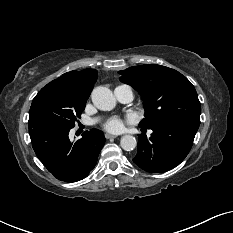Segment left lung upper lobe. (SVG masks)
<instances>
[{"instance_id": "5c2ea615", "label": "left lung upper lobe", "mask_w": 233, "mask_h": 233, "mask_svg": "<svg viewBox=\"0 0 233 233\" xmlns=\"http://www.w3.org/2000/svg\"><path fill=\"white\" fill-rule=\"evenodd\" d=\"M120 80L136 89L144 100L145 119L150 128L166 121L200 124L201 104L194 86L181 73L157 65H139L119 72Z\"/></svg>"}]
</instances>
